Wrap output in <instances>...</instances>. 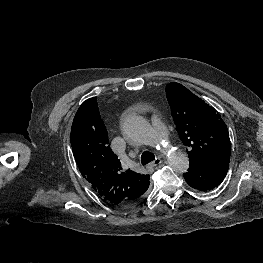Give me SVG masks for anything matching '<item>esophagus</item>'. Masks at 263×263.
<instances>
[{
  "mask_svg": "<svg viewBox=\"0 0 263 263\" xmlns=\"http://www.w3.org/2000/svg\"><path fill=\"white\" fill-rule=\"evenodd\" d=\"M162 163V160L160 158H156L153 162L149 163L147 168L148 169H154L157 166H159Z\"/></svg>",
  "mask_w": 263,
  "mask_h": 263,
  "instance_id": "obj_1",
  "label": "esophagus"
}]
</instances>
